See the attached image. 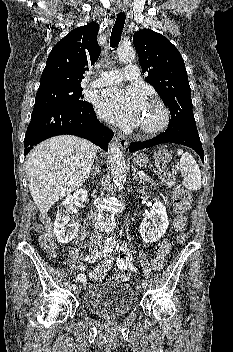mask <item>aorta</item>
<instances>
[{
	"instance_id": "762f6f07",
	"label": "aorta",
	"mask_w": 233,
	"mask_h": 352,
	"mask_svg": "<svg viewBox=\"0 0 233 352\" xmlns=\"http://www.w3.org/2000/svg\"><path fill=\"white\" fill-rule=\"evenodd\" d=\"M117 54L120 61H133L136 57V52L133 48L121 47L118 49ZM109 151L113 182L119 189H121L127 176L125 157L115 142L109 144Z\"/></svg>"
}]
</instances>
